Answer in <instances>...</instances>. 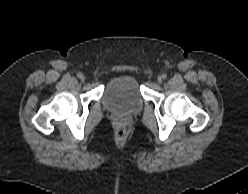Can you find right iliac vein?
<instances>
[{
  "label": "right iliac vein",
  "mask_w": 248,
  "mask_h": 194,
  "mask_svg": "<svg viewBox=\"0 0 248 194\" xmlns=\"http://www.w3.org/2000/svg\"><path fill=\"white\" fill-rule=\"evenodd\" d=\"M82 81H84L85 80V78L82 76L81 78H80Z\"/></svg>",
  "instance_id": "obj_1"
}]
</instances>
